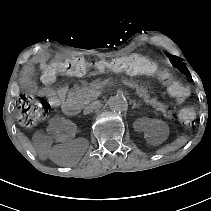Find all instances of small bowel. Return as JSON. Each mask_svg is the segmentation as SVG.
I'll return each mask as SVG.
<instances>
[{"label":"small bowel","mask_w":211,"mask_h":211,"mask_svg":"<svg viewBox=\"0 0 211 211\" xmlns=\"http://www.w3.org/2000/svg\"><path fill=\"white\" fill-rule=\"evenodd\" d=\"M48 59L49 55L42 53L36 56L31 63L24 67L21 75V85L25 90L33 91L35 89L33 77L36 72V67L44 65ZM67 90V86H61L57 89L44 88L39 91V94L47 98L53 106H59L63 103Z\"/></svg>","instance_id":"c3829d8e"}]
</instances>
